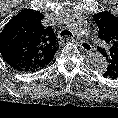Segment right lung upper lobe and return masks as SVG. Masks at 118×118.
Here are the masks:
<instances>
[{
	"label": "right lung upper lobe",
	"instance_id": "right-lung-upper-lobe-1",
	"mask_svg": "<svg viewBox=\"0 0 118 118\" xmlns=\"http://www.w3.org/2000/svg\"><path fill=\"white\" fill-rule=\"evenodd\" d=\"M44 15L24 9L14 16L0 33V53L12 68L35 71L48 65L57 50L51 27L42 24Z\"/></svg>",
	"mask_w": 118,
	"mask_h": 118
}]
</instances>
